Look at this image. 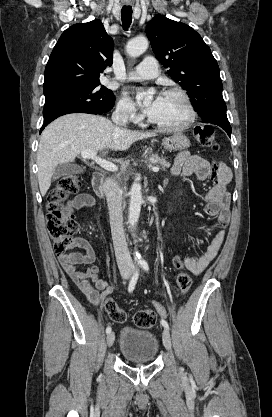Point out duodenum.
I'll return each mask as SVG.
<instances>
[{
  "instance_id": "duodenum-1",
  "label": "duodenum",
  "mask_w": 272,
  "mask_h": 417,
  "mask_svg": "<svg viewBox=\"0 0 272 417\" xmlns=\"http://www.w3.org/2000/svg\"><path fill=\"white\" fill-rule=\"evenodd\" d=\"M104 181L105 175L102 171H95L92 177V188L94 192L102 197L104 195Z\"/></svg>"
}]
</instances>
